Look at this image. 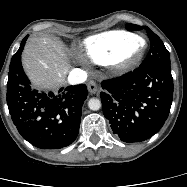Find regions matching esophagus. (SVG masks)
Returning <instances> with one entry per match:
<instances>
[{"mask_svg":"<svg viewBox=\"0 0 187 187\" xmlns=\"http://www.w3.org/2000/svg\"><path fill=\"white\" fill-rule=\"evenodd\" d=\"M98 90H99V88H98L97 84L94 81H90L88 83V91L91 94H95L96 92H98Z\"/></svg>","mask_w":187,"mask_h":187,"instance_id":"esophagus-1","label":"esophagus"}]
</instances>
